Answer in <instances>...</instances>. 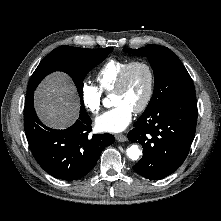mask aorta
Instances as JSON below:
<instances>
[{"label":"aorta","mask_w":221,"mask_h":221,"mask_svg":"<svg viewBox=\"0 0 221 221\" xmlns=\"http://www.w3.org/2000/svg\"><path fill=\"white\" fill-rule=\"evenodd\" d=\"M141 155V150L139 149L138 145H132L127 149V156L131 160H138Z\"/></svg>","instance_id":"obj_1"}]
</instances>
